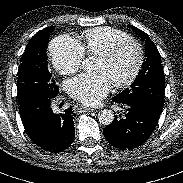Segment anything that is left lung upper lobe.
<instances>
[{"mask_svg": "<svg viewBox=\"0 0 183 183\" xmlns=\"http://www.w3.org/2000/svg\"><path fill=\"white\" fill-rule=\"evenodd\" d=\"M132 30L145 41L146 61L130 88L125 89L113 99L134 101L161 113L164 101L165 78L161 56L150 37L142 30L130 25Z\"/></svg>", "mask_w": 183, "mask_h": 183, "instance_id": "left-lung-upper-lobe-1", "label": "left lung upper lobe"}]
</instances>
